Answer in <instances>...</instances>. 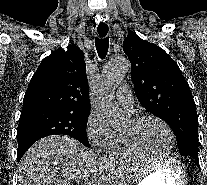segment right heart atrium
Returning <instances> with one entry per match:
<instances>
[{"label": "right heart atrium", "instance_id": "d8ad5b80", "mask_svg": "<svg viewBox=\"0 0 207 185\" xmlns=\"http://www.w3.org/2000/svg\"><path fill=\"white\" fill-rule=\"evenodd\" d=\"M115 131L110 126L105 114L93 109L86 124V136L89 144L96 150L104 149L111 141Z\"/></svg>", "mask_w": 207, "mask_h": 185}]
</instances>
